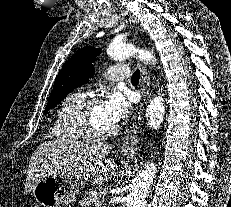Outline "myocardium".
I'll list each match as a JSON object with an SVG mask.
<instances>
[{
	"instance_id": "obj_1",
	"label": "myocardium",
	"mask_w": 231,
	"mask_h": 207,
	"mask_svg": "<svg viewBox=\"0 0 231 207\" xmlns=\"http://www.w3.org/2000/svg\"><path fill=\"white\" fill-rule=\"evenodd\" d=\"M98 103H101V99L99 96H87L80 102L74 113V119L78 129L84 137L91 140H103L110 138L114 136L119 129V127L115 125L110 130L100 132L93 127L90 119V113L92 108Z\"/></svg>"
}]
</instances>
